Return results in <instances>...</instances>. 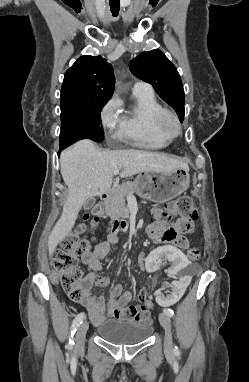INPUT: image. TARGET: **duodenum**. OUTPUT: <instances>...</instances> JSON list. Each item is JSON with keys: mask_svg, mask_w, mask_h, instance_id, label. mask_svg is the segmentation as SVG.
Instances as JSON below:
<instances>
[{"mask_svg": "<svg viewBox=\"0 0 249 382\" xmlns=\"http://www.w3.org/2000/svg\"><path fill=\"white\" fill-rule=\"evenodd\" d=\"M110 194H111V190L110 189L104 191L101 194V199L103 201L108 200V198L110 197ZM127 228H128V223L125 222V221L116 220V221L112 222V229L115 230V231L126 230Z\"/></svg>", "mask_w": 249, "mask_h": 382, "instance_id": "1", "label": "duodenum"}]
</instances>
